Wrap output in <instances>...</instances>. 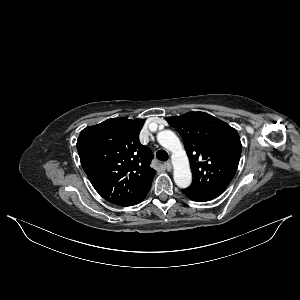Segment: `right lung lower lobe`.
Wrapping results in <instances>:
<instances>
[{
	"label": "right lung lower lobe",
	"instance_id": "right-lung-lower-lobe-1",
	"mask_svg": "<svg viewBox=\"0 0 300 300\" xmlns=\"http://www.w3.org/2000/svg\"><path fill=\"white\" fill-rule=\"evenodd\" d=\"M148 192H146L144 194H141V195L129 196V197H126V198H122V199H119V200L111 202V203H113L115 205H119V206L136 205V204L140 203L141 201H143L145 199Z\"/></svg>",
	"mask_w": 300,
	"mask_h": 300
}]
</instances>
